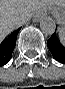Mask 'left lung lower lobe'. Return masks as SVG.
Wrapping results in <instances>:
<instances>
[{"instance_id": "0a47b994", "label": "left lung lower lobe", "mask_w": 65, "mask_h": 89, "mask_svg": "<svg viewBox=\"0 0 65 89\" xmlns=\"http://www.w3.org/2000/svg\"><path fill=\"white\" fill-rule=\"evenodd\" d=\"M47 46L53 55V58L60 63L65 64V43H61L54 33L47 41Z\"/></svg>"}]
</instances>
